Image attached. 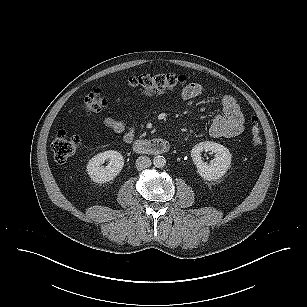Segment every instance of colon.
Segmentation results:
<instances>
[{"instance_id": "colon-1", "label": "colon", "mask_w": 307, "mask_h": 307, "mask_svg": "<svg viewBox=\"0 0 307 307\" xmlns=\"http://www.w3.org/2000/svg\"><path fill=\"white\" fill-rule=\"evenodd\" d=\"M129 84L139 93L152 96L183 88L187 84V78L176 74H144L131 78ZM106 106L107 99L100 93H93L84 99L82 108L86 113H94ZM250 140L255 148H259L262 144L259 121L255 116L250 118ZM79 146L80 139L78 136L71 135L64 130L59 131L52 143L55 160L58 162L66 161L78 150Z\"/></svg>"}]
</instances>
